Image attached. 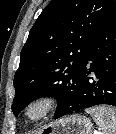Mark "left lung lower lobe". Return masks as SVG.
Segmentation results:
<instances>
[{
    "mask_svg": "<svg viewBox=\"0 0 116 134\" xmlns=\"http://www.w3.org/2000/svg\"><path fill=\"white\" fill-rule=\"evenodd\" d=\"M101 104L116 106V3L89 44L75 95L54 118Z\"/></svg>",
    "mask_w": 116,
    "mask_h": 134,
    "instance_id": "1",
    "label": "left lung lower lobe"
}]
</instances>
